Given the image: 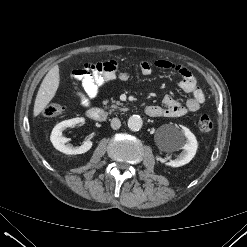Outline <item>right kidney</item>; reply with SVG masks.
I'll use <instances>...</instances> for the list:
<instances>
[{"mask_svg":"<svg viewBox=\"0 0 247 247\" xmlns=\"http://www.w3.org/2000/svg\"><path fill=\"white\" fill-rule=\"evenodd\" d=\"M84 118H73L65 120L57 124L51 133L50 140L53 146L60 152H63L68 155L82 154L89 151L92 147V141L86 140L81 146L74 147L72 144H66L68 138L62 136V132L68 127L75 126L79 123H83Z\"/></svg>","mask_w":247,"mask_h":247,"instance_id":"1","label":"right kidney"}]
</instances>
